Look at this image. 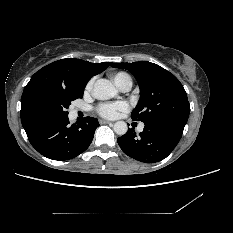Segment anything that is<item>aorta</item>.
<instances>
[{
	"instance_id": "762f6f07",
	"label": "aorta",
	"mask_w": 233,
	"mask_h": 233,
	"mask_svg": "<svg viewBox=\"0 0 233 233\" xmlns=\"http://www.w3.org/2000/svg\"><path fill=\"white\" fill-rule=\"evenodd\" d=\"M117 94L116 88L106 79H100L95 83L92 95L98 100H108L115 97ZM113 130L118 135H124L128 131L127 123L118 121L114 124Z\"/></svg>"
}]
</instances>
